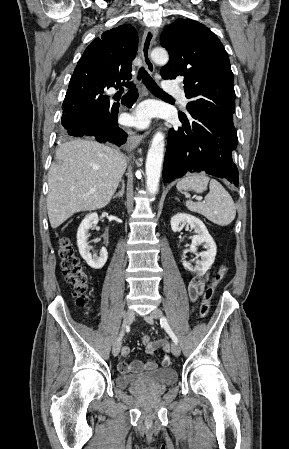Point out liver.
Returning <instances> with one entry per match:
<instances>
[{
	"instance_id": "1",
	"label": "liver",
	"mask_w": 289,
	"mask_h": 449,
	"mask_svg": "<svg viewBox=\"0 0 289 449\" xmlns=\"http://www.w3.org/2000/svg\"><path fill=\"white\" fill-rule=\"evenodd\" d=\"M48 173V217L53 229L73 214L97 210L111 200L126 170L124 155L92 140L59 146Z\"/></svg>"
}]
</instances>
